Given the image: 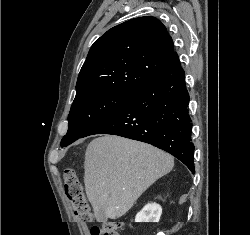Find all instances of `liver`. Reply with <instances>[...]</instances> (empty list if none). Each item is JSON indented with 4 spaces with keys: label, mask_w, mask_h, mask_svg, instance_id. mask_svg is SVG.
<instances>
[{
    "label": "liver",
    "mask_w": 250,
    "mask_h": 235,
    "mask_svg": "<svg viewBox=\"0 0 250 235\" xmlns=\"http://www.w3.org/2000/svg\"><path fill=\"white\" fill-rule=\"evenodd\" d=\"M174 159L146 143L105 135L87 146L84 183L87 197L99 221L123 216L156 180L168 174Z\"/></svg>",
    "instance_id": "obj_1"
}]
</instances>
